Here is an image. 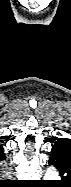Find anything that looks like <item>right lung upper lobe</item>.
<instances>
[{
	"mask_svg": "<svg viewBox=\"0 0 71 187\" xmlns=\"http://www.w3.org/2000/svg\"><path fill=\"white\" fill-rule=\"evenodd\" d=\"M0 150H1V152H2V154H3V148L0 146ZM4 155V154H3Z\"/></svg>",
	"mask_w": 71,
	"mask_h": 187,
	"instance_id": "cb5924a9",
	"label": "right lung upper lobe"
}]
</instances>
